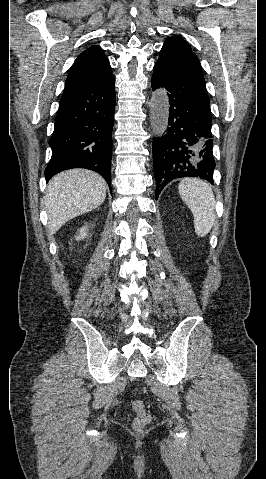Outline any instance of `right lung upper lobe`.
Listing matches in <instances>:
<instances>
[{
  "label": "right lung upper lobe",
  "instance_id": "right-lung-upper-lobe-1",
  "mask_svg": "<svg viewBox=\"0 0 266 479\" xmlns=\"http://www.w3.org/2000/svg\"><path fill=\"white\" fill-rule=\"evenodd\" d=\"M111 74L110 63L104 51L100 46L94 45L77 57L66 79L65 86L99 81Z\"/></svg>",
  "mask_w": 266,
  "mask_h": 479
}]
</instances>
